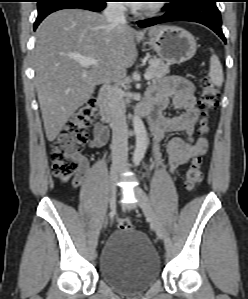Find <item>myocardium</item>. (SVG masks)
I'll return each mask as SVG.
<instances>
[{"mask_svg":"<svg viewBox=\"0 0 248 299\" xmlns=\"http://www.w3.org/2000/svg\"><path fill=\"white\" fill-rule=\"evenodd\" d=\"M164 8V3L161 1L150 3L143 8V14L146 16H155L160 13Z\"/></svg>","mask_w":248,"mask_h":299,"instance_id":"myocardium-1","label":"myocardium"}]
</instances>
